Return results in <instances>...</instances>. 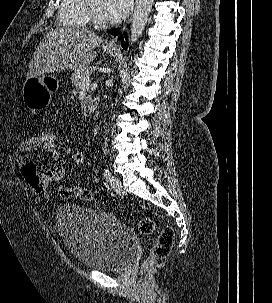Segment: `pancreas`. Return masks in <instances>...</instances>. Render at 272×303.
Instances as JSON below:
<instances>
[{"label":"pancreas","mask_w":272,"mask_h":303,"mask_svg":"<svg viewBox=\"0 0 272 303\" xmlns=\"http://www.w3.org/2000/svg\"><path fill=\"white\" fill-rule=\"evenodd\" d=\"M91 73V68L90 67H86V68H82V69H78L74 72V74L72 75L71 81H72V85L76 88L79 89L80 85L82 83V80L85 76L89 75ZM89 97V96H88Z\"/></svg>","instance_id":"pancreas-1"}]
</instances>
